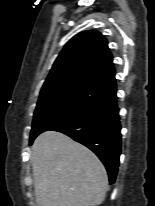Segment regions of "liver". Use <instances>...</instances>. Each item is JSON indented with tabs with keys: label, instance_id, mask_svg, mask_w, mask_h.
Returning a JSON list of instances; mask_svg holds the SVG:
<instances>
[{
	"label": "liver",
	"instance_id": "6515ba94",
	"mask_svg": "<svg viewBox=\"0 0 155 206\" xmlns=\"http://www.w3.org/2000/svg\"><path fill=\"white\" fill-rule=\"evenodd\" d=\"M34 192L38 206H97L106 196L108 176L85 146L54 131L32 145Z\"/></svg>",
	"mask_w": 155,
	"mask_h": 206
}]
</instances>
